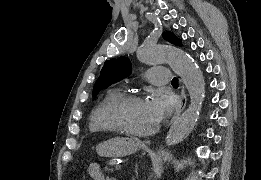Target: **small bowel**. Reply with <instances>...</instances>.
<instances>
[{"label": "small bowel", "instance_id": "obj_1", "mask_svg": "<svg viewBox=\"0 0 261 180\" xmlns=\"http://www.w3.org/2000/svg\"><path fill=\"white\" fill-rule=\"evenodd\" d=\"M87 172L92 180H104V174L96 163H91L87 168Z\"/></svg>", "mask_w": 261, "mask_h": 180}]
</instances>
